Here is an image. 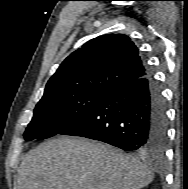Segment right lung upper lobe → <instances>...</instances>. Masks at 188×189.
Masks as SVG:
<instances>
[{"label":"right lung upper lobe","mask_w":188,"mask_h":189,"mask_svg":"<svg viewBox=\"0 0 188 189\" xmlns=\"http://www.w3.org/2000/svg\"><path fill=\"white\" fill-rule=\"evenodd\" d=\"M145 74V64L128 36L103 35L62 62L49 79L44 96L94 88L114 90Z\"/></svg>","instance_id":"right-lung-upper-lobe-1"}]
</instances>
